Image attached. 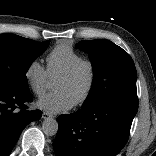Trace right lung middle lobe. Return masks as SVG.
Instances as JSON below:
<instances>
[{"label": "right lung middle lobe", "instance_id": "obj_1", "mask_svg": "<svg viewBox=\"0 0 156 156\" xmlns=\"http://www.w3.org/2000/svg\"><path fill=\"white\" fill-rule=\"evenodd\" d=\"M14 34H0V86L28 89L26 72L33 61L48 47Z\"/></svg>", "mask_w": 156, "mask_h": 156}]
</instances>
